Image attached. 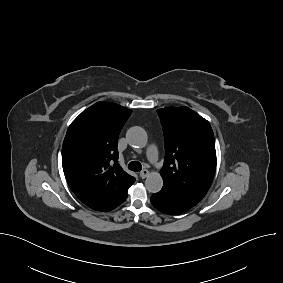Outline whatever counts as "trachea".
Instances as JSON below:
<instances>
[{"label":"trachea","mask_w":283,"mask_h":283,"mask_svg":"<svg viewBox=\"0 0 283 283\" xmlns=\"http://www.w3.org/2000/svg\"><path fill=\"white\" fill-rule=\"evenodd\" d=\"M128 169L135 172H139L142 170V165L140 162L132 161L128 164Z\"/></svg>","instance_id":"3493384b"}]
</instances>
